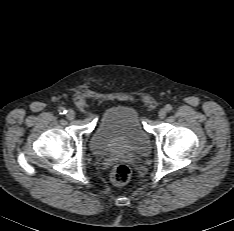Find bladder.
Wrapping results in <instances>:
<instances>
[{
	"instance_id": "bladder-1",
	"label": "bladder",
	"mask_w": 234,
	"mask_h": 231,
	"mask_svg": "<svg viewBox=\"0 0 234 231\" xmlns=\"http://www.w3.org/2000/svg\"><path fill=\"white\" fill-rule=\"evenodd\" d=\"M150 148V135L144 129L136 107L129 104L111 107L91 135V149L98 156L129 154L144 157Z\"/></svg>"
}]
</instances>
